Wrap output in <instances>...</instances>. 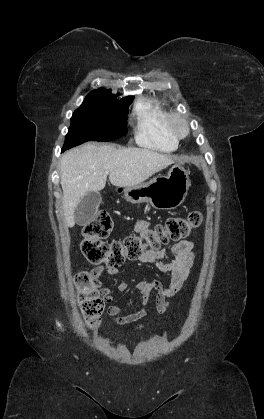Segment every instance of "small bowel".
<instances>
[{"mask_svg": "<svg viewBox=\"0 0 264 419\" xmlns=\"http://www.w3.org/2000/svg\"><path fill=\"white\" fill-rule=\"evenodd\" d=\"M150 227V223L146 220H140L135 225V231L143 235ZM195 243L190 240H181L170 247L168 251H146L139 259L142 263L155 265L162 273L170 275V282L167 286L156 278L151 280H142L137 282L133 288L139 292L142 301V307L135 311L126 314L124 309L120 306L110 305L107 308V313L113 317V322L117 325H128L137 322L147 315L148 304L152 293H156V309L162 315L169 306V298L174 297L183 287L190 269L195 262L194 253ZM116 275L118 269L108 268L104 266H97L93 268L88 274L94 280L99 292L107 302L113 300L111 289L102 287L101 276L104 272ZM128 289L127 283L120 279L118 283L119 291H126ZM145 327L144 323L136 325V330H141Z\"/></svg>", "mask_w": 264, "mask_h": 419, "instance_id": "1", "label": "small bowel"}]
</instances>
